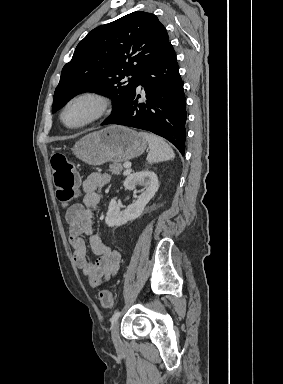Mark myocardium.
<instances>
[{
	"instance_id": "obj_1",
	"label": "myocardium",
	"mask_w": 283,
	"mask_h": 384,
	"mask_svg": "<svg viewBox=\"0 0 283 384\" xmlns=\"http://www.w3.org/2000/svg\"><path fill=\"white\" fill-rule=\"evenodd\" d=\"M80 100H88L91 101L94 105V110L92 115L85 120L84 122L77 124V125H68L65 122L64 116L67 111V109L75 102ZM111 103L107 96L103 95L102 93L96 92V91H83L80 93H77L73 96H71L64 104L61 113H60V120L61 123L68 129H82L85 128L102 118L106 117L108 113L110 112Z\"/></svg>"
}]
</instances>
